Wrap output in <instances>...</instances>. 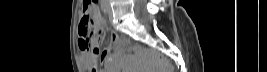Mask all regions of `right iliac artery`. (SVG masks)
<instances>
[{
  "mask_svg": "<svg viewBox=\"0 0 267 72\" xmlns=\"http://www.w3.org/2000/svg\"><path fill=\"white\" fill-rule=\"evenodd\" d=\"M101 9L104 13H107L108 12V9H109V4L107 1L103 0L101 1Z\"/></svg>",
  "mask_w": 267,
  "mask_h": 72,
  "instance_id": "right-iliac-artery-1",
  "label": "right iliac artery"
}]
</instances>
